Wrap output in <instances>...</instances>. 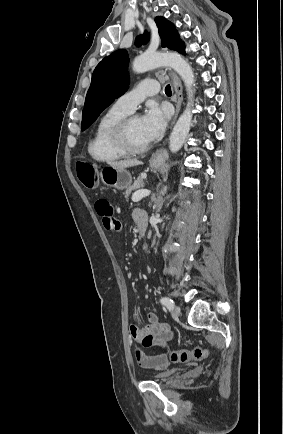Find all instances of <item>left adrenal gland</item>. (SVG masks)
Returning <instances> with one entry per match:
<instances>
[{
  "label": "left adrenal gland",
  "mask_w": 283,
  "mask_h": 434,
  "mask_svg": "<svg viewBox=\"0 0 283 434\" xmlns=\"http://www.w3.org/2000/svg\"><path fill=\"white\" fill-rule=\"evenodd\" d=\"M167 193V187H165L162 191H161V195H165ZM164 200L162 199L161 196L158 197L157 201H156V205L155 207L160 209L163 205Z\"/></svg>",
  "instance_id": "left-adrenal-gland-1"
}]
</instances>
